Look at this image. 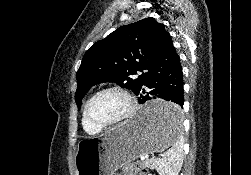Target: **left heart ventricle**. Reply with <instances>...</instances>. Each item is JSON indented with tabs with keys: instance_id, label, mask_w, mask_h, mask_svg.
<instances>
[{
	"instance_id": "1",
	"label": "left heart ventricle",
	"mask_w": 251,
	"mask_h": 175,
	"mask_svg": "<svg viewBox=\"0 0 251 175\" xmlns=\"http://www.w3.org/2000/svg\"><path fill=\"white\" fill-rule=\"evenodd\" d=\"M125 96L116 90L106 91L93 101L90 109L92 118L111 124L120 120L127 111Z\"/></svg>"
}]
</instances>
